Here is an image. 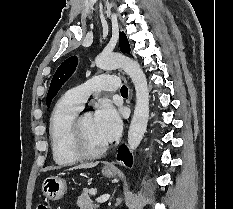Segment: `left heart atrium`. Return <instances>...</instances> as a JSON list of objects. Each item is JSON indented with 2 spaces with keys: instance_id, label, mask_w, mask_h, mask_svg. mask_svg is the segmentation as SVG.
<instances>
[{
  "instance_id": "39dd6f15",
  "label": "left heart atrium",
  "mask_w": 233,
  "mask_h": 209,
  "mask_svg": "<svg viewBox=\"0 0 233 209\" xmlns=\"http://www.w3.org/2000/svg\"><path fill=\"white\" fill-rule=\"evenodd\" d=\"M93 121L97 135L105 143L115 140L120 134L122 126L120 115L109 102L100 103Z\"/></svg>"
}]
</instances>
